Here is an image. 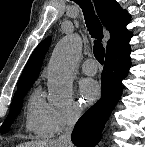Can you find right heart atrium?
Returning a JSON list of instances; mask_svg holds the SVG:
<instances>
[{"mask_svg":"<svg viewBox=\"0 0 145 147\" xmlns=\"http://www.w3.org/2000/svg\"><path fill=\"white\" fill-rule=\"evenodd\" d=\"M82 115V106L77 101H70L65 106L54 107L51 114L53 133H60L74 125Z\"/></svg>","mask_w":145,"mask_h":147,"instance_id":"obj_1","label":"right heart atrium"}]
</instances>
